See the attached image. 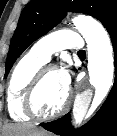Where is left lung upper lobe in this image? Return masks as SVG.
Here are the masks:
<instances>
[{
  "label": "left lung upper lobe",
  "instance_id": "1",
  "mask_svg": "<svg viewBox=\"0 0 117 136\" xmlns=\"http://www.w3.org/2000/svg\"><path fill=\"white\" fill-rule=\"evenodd\" d=\"M67 11L88 14L105 27L117 14V0H31L23 9L11 39L4 78L22 52L56 26Z\"/></svg>",
  "mask_w": 117,
  "mask_h": 136
}]
</instances>
